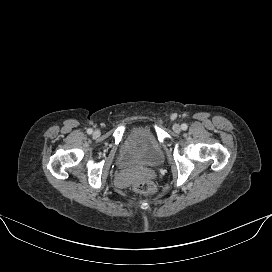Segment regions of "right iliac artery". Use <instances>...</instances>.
<instances>
[{
  "label": "right iliac artery",
  "mask_w": 272,
  "mask_h": 272,
  "mask_svg": "<svg viewBox=\"0 0 272 272\" xmlns=\"http://www.w3.org/2000/svg\"><path fill=\"white\" fill-rule=\"evenodd\" d=\"M92 132H93V130H92L91 128H89V129L87 130V133H88V134H92Z\"/></svg>",
  "instance_id": "right-iliac-artery-1"
}]
</instances>
